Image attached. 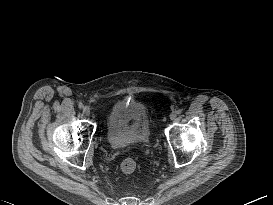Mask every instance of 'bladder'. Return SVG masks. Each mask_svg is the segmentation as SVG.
Here are the masks:
<instances>
[{"label": "bladder", "instance_id": "31cf9c89", "mask_svg": "<svg viewBox=\"0 0 273 205\" xmlns=\"http://www.w3.org/2000/svg\"><path fill=\"white\" fill-rule=\"evenodd\" d=\"M150 134L146 108L136 100H121L110 109L106 119L108 143L116 149H127L145 142Z\"/></svg>", "mask_w": 273, "mask_h": 205}]
</instances>
